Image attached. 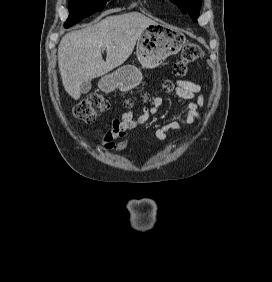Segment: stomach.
I'll use <instances>...</instances> for the list:
<instances>
[{
    "instance_id": "0dacf381",
    "label": "stomach",
    "mask_w": 272,
    "mask_h": 282,
    "mask_svg": "<svg viewBox=\"0 0 272 282\" xmlns=\"http://www.w3.org/2000/svg\"><path fill=\"white\" fill-rule=\"evenodd\" d=\"M185 37L172 27L154 23L149 25L137 41L136 55L144 68L159 66L167 57L180 51ZM142 81L141 71L134 65H125L106 75L101 80L104 91L119 89L122 92L132 90Z\"/></svg>"
}]
</instances>
